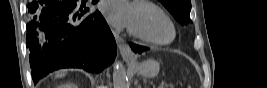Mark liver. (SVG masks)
<instances>
[{
  "instance_id": "liver-1",
  "label": "liver",
  "mask_w": 267,
  "mask_h": 88,
  "mask_svg": "<svg viewBox=\"0 0 267 88\" xmlns=\"http://www.w3.org/2000/svg\"><path fill=\"white\" fill-rule=\"evenodd\" d=\"M64 75H65V72L62 71V72H59V73L56 75V77H62V76H64Z\"/></svg>"
}]
</instances>
